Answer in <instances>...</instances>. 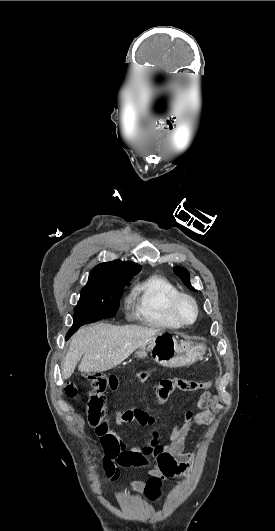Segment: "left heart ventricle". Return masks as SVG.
<instances>
[{"label":"left heart ventricle","instance_id":"obj_1","mask_svg":"<svg viewBox=\"0 0 275 531\" xmlns=\"http://www.w3.org/2000/svg\"><path fill=\"white\" fill-rule=\"evenodd\" d=\"M177 312L184 320H191L195 315V308L188 299H181L177 305Z\"/></svg>","mask_w":275,"mask_h":531}]
</instances>
